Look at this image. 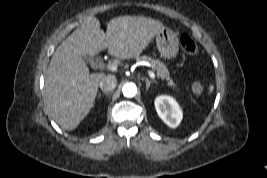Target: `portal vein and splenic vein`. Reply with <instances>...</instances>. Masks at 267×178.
<instances>
[{
	"instance_id": "portal-vein-and-splenic-vein-1",
	"label": "portal vein and splenic vein",
	"mask_w": 267,
	"mask_h": 178,
	"mask_svg": "<svg viewBox=\"0 0 267 178\" xmlns=\"http://www.w3.org/2000/svg\"><path fill=\"white\" fill-rule=\"evenodd\" d=\"M107 69L114 72L118 69V64L117 63H109L107 65ZM147 72H148V75L151 79H153V80L156 79L155 74L151 70H148Z\"/></svg>"
}]
</instances>
